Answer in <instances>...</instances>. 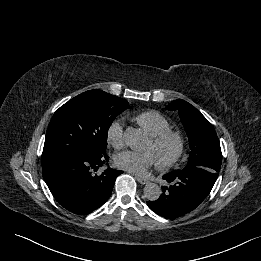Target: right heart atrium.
Instances as JSON below:
<instances>
[{
    "label": "right heart atrium",
    "instance_id": "1",
    "mask_svg": "<svg viewBox=\"0 0 261 261\" xmlns=\"http://www.w3.org/2000/svg\"><path fill=\"white\" fill-rule=\"evenodd\" d=\"M106 140L115 149H120L125 144L123 127L119 120L112 121L106 130Z\"/></svg>",
    "mask_w": 261,
    "mask_h": 261
}]
</instances>
